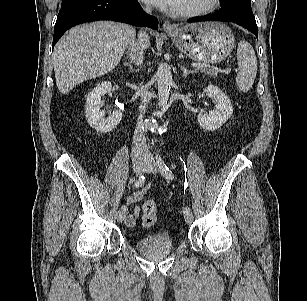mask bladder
Listing matches in <instances>:
<instances>
[{"label": "bladder", "mask_w": 307, "mask_h": 301, "mask_svg": "<svg viewBox=\"0 0 307 301\" xmlns=\"http://www.w3.org/2000/svg\"><path fill=\"white\" fill-rule=\"evenodd\" d=\"M136 248L145 256L156 259L172 252L174 242L168 233L159 232L139 238Z\"/></svg>", "instance_id": "1"}]
</instances>
